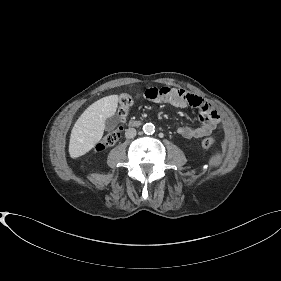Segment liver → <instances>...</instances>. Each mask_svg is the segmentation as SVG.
Here are the masks:
<instances>
[{
	"label": "liver",
	"mask_w": 281,
	"mask_h": 281,
	"mask_svg": "<svg viewBox=\"0 0 281 281\" xmlns=\"http://www.w3.org/2000/svg\"><path fill=\"white\" fill-rule=\"evenodd\" d=\"M118 100V95L103 97L91 104L81 114L71 131L69 142L71 158H78L86 154L101 140L105 120L115 114Z\"/></svg>",
	"instance_id": "liver-1"
}]
</instances>
